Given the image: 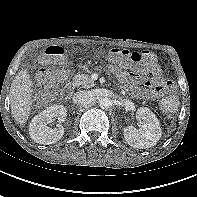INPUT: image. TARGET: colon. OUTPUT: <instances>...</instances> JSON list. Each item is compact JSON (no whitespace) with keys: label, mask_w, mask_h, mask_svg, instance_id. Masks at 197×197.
<instances>
[{"label":"colon","mask_w":197,"mask_h":197,"mask_svg":"<svg viewBox=\"0 0 197 197\" xmlns=\"http://www.w3.org/2000/svg\"><path fill=\"white\" fill-rule=\"evenodd\" d=\"M67 52V50L58 46L47 48L43 56V61L51 67L47 68L40 76L37 89L38 95H51L56 86L66 79L68 69L64 56ZM108 56L113 60L132 63L143 70L152 68L156 64V56L149 50L130 51L127 49L113 48L108 51ZM177 104V97L174 94H170L162 101L161 106L167 115H172L177 108Z\"/></svg>","instance_id":"1"}]
</instances>
